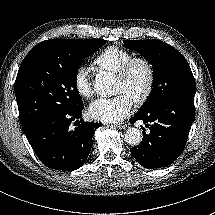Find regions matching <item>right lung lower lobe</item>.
<instances>
[{"label": "right lung lower lobe", "mask_w": 215, "mask_h": 215, "mask_svg": "<svg viewBox=\"0 0 215 215\" xmlns=\"http://www.w3.org/2000/svg\"><path fill=\"white\" fill-rule=\"evenodd\" d=\"M84 105L74 111L47 110L21 124L23 131L40 161L52 169L73 171L86 161L93 134L101 124L76 121L75 130L69 126L82 115Z\"/></svg>", "instance_id": "obj_1"}]
</instances>
